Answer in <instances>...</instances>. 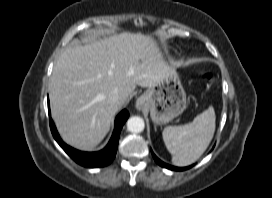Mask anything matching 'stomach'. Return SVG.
Masks as SVG:
<instances>
[{
    "label": "stomach",
    "instance_id": "0dacf381",
    "mask_svg": "<svg viewBox=\"0 0 272 198\" xmlns=\"http://www.w3.org/2000/svg\"><path fill=\"white\" fill-rule=\"evenodd\" d=\"M145 107L155 124H166L183 113L187 106L186 93L178 73L170 68L165 77L144 92Z\"/></svg>",
    "mask_w": 272,
    "mask_h": 198
}]
</instances>
